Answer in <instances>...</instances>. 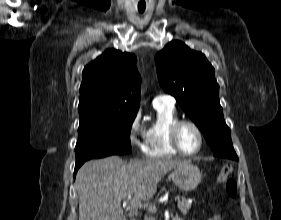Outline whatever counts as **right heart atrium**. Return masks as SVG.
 I'll use <instances>...</instances> for the list:
<instances>
[{"instance_id": "right-heart-atrium-1", "label": "right heart atrium", "mask_w": 281, "mask_h": 220, "mask_svg": "<svg viewBox=\"0 0 281 220\" xmlns=\"http://www.w3.org/2000/svg\"><path fill=\"white\" fill-rule=\"evenodd\" d=\"M145 127L141 121V114L137 113L130 124L129 127V140L132 145L143 148L144 146V139H145Z\"/></svg>"}]
</instances>
